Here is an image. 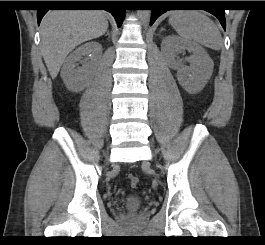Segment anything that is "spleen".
Segmentation results:
<instances>
[{
  "instance_id": "spleen-1",
  "label": "spleen",
  "mask_w": 265,
  "mask_h": 245,
  "mask_svg": "<svg viewBox=\"0 0 265 245\" xmlns=\"http://www.w3.org/2000/svg\"><path fill=\"white\" fill-rule=\"evenodd\" d=\"M169 23L183 40L195 41L213 50L222 47V37L217 26L199 11H173Z\"/></svg>"
}]
</instances>
